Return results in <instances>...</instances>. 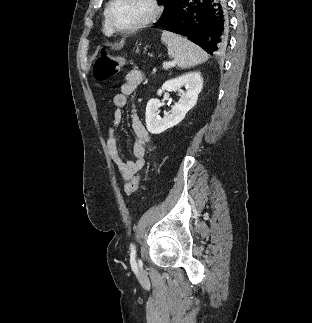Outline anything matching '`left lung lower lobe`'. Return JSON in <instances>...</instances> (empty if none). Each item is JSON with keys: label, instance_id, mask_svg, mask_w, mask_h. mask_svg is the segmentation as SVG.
<instances>
[{"label": "left lung lower lobe", "instance_id": "obj_1", "mask_svg": "<svg viewBox=\"0 0 312 323\" xmlns=\"http://www.w3.org/2000/svg\"><path fill=\"white\" fill-rule=\"evenodd\" d=\"M158 27L187 37L211 55H224L228 50L225 0H178L171 17Z\"/></svg>", "mask_w": 312, "mask_h": 323}]
</instances>
